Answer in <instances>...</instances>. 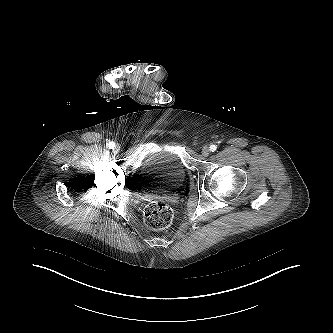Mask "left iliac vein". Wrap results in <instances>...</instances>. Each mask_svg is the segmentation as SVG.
<instances>
[{"label":"left iliac vein","mask_w":333,"mask_h":333,"mask_svg":"<svg viewBox=\"0 0 333 333\" xmlns=\"http://www.w3.org/2000/svg\"><path fill=\"white\" fill-rule=\"evenodd\" d=\"M202 155L203 156H205V157H207L209 154H210V149H209V147H207V146H204L203 148H202Z\"/></svg>","instance_id":"1"}]
</instances>
